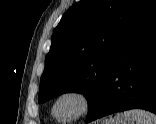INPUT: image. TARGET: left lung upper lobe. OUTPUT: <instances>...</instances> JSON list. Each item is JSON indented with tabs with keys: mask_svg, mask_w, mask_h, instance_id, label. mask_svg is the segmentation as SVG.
<instances>
[{
	"mask_svg": "<svg viewBox=\"0 0 156 124\" xmlns=\"http://www.w3.org/2000/svg\"><path fill=\"white\" fill-rule=\"evenodd\" d=\"M156 10V0H81L51 37L38 102L66 92L83 93L89 112L118 59Z\"/></svg>",
	"mask_w": 156,
	"mask_h": 124,
	"instance_id": "5c2ea615",
	"label": "left lung upper lobe"
}]
</instances>
